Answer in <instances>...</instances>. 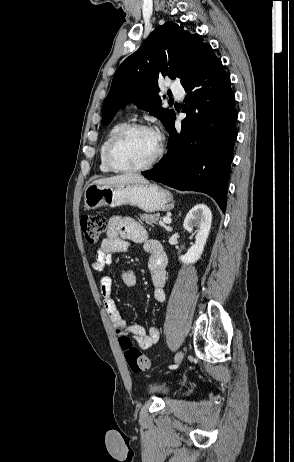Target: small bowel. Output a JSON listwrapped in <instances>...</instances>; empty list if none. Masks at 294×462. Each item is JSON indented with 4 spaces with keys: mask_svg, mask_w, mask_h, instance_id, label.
<instances>
[{
    "mask_svg": "<svg viewBox=\"0 0 294 462\" xmlns=\"http://www.w3.org/2000/svg\"><path fill=\"white\" fill-rule=\"evenodd\" d=\"M130 242L142 244L144 250L150 254L149 271L153 284L152 295L156 302H163L167 280L166 254L162 245L156 240H149L143 226L130 217L115 216L109 220L106 237L102 240L92 264L93 269L103 272L112 263L116 253L128 250ZM120 279L125 286L133 287L136 283L135 272L131 269H124L120 273ZM99 284L105 310L120 336H132L142 350H147L156 344L160 336L156 326H150L147 330L137 324L127 326L111 296L112 278L103 274L100 276Z\"/></svg>",
    "mask_w": 294,
    "mask_h": 462,
    "instance_id": "small-bowel-1",
    "label": "small bowel"
}]
</instances>
